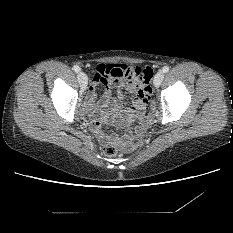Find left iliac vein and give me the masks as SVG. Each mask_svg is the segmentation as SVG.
<instances>
[{
    "instance_id": "obj_1",
    "label": "left iliac vein",
    "mask_w": 233,
    "mask_h": 233,
    "mask_svg": "<svg viewBox=\"0 0 233 233\" xmlns=\"http://www.w3.org/2000/svg\"><path fill=\"white\" fill-rule=\"evenodd\" d=\"M163 79H164V73L162 71H158L153 80L154 86L159 87Z\"/></svg>"
}]
</instances>
